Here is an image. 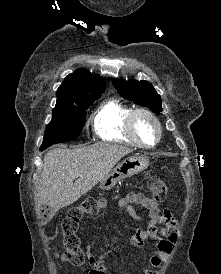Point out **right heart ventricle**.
<instances>
[{
  "label": "right heart ventricle",
  "mask_w": 221,
  "mask_h": 274,
  "mask_svg": "<svg viewBox=\"0 0 221 274\" xmlns=\"http://www.w3.org/2000/svg\"><path fill=\"white\" fill-rule=\"evenodd\" d=\"M131 106L117 98L104 100L92 115L96 135L106 141L138 146L127 131V118Z\"/></svg>",
  "instance_id": "1"
}]
</instances>
